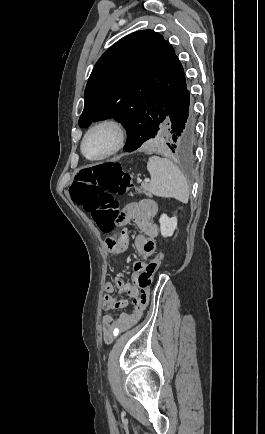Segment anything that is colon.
<instances>
[{"mask_svg": "<svg viewBox=\"0 0 265 434\" xmlns=\"http://www.w3.org/2000/svg\"><path fill=\"white\" fill-rule=\"evenodd\" d=\"M113 160L104 164H84L77 168L69 184V202H80L102 233H113L121 206L114 195H124L134 188L132 176ZM164 259L162 252L146 264V270L137 274L135 286H150L153 270L158 269Z\"/></svg>", "mask_w": 265, "mask_h": 434, "instance_id": "1", "label": "colon"}]
</instances>
